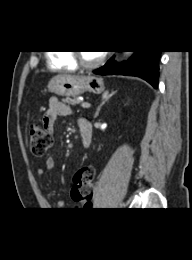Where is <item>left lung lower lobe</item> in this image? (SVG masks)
<instances>
[{
    "label": "left lung lower lobe",
    "mask_w": 192,
    "mask_h": 260,
    "mask_svg": "<svg viewBox=\"0 0 192 260\" xmlns=\"http://www.w3.org/2000/svg\"><path fill=\"white\" fill-rule=\"evenodd\" d=\"M161 51H135V53L126 62L119 65L112 57L107 63L95 70L98 75H131L140 77L149 82L154 88L158 85L159 66L158 60Z\"/></svg>",
    "instance_id": "1"
}]
</instances>
